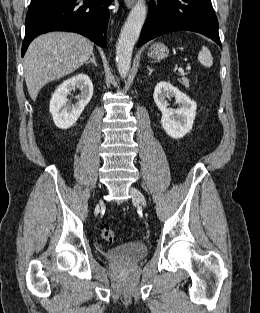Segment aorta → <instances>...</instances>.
I'll use <instances>...</instances> for the list:
<instances>
[{
	"instance_id": "obj_1",
	"label": "aorta",
	"mask_w": 260,
	"mask_h": 313,
	"mask_svg": "<svg viewBox=\"0 0 260 313\" xmlns=\"http://www.w3.org/2000/svg\"><path fill=\"white\" fill-rule=\"evenodd\" d=\"M146 15L145 1L138 0L121 30L116 46V64L119 74L124 78L130 70L133 47L140 36Z\"/></svg>"
}]
</instances>
